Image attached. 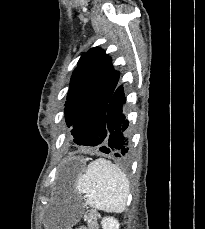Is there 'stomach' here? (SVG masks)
<instances>
[{
    "label": "stomach",
    "instance_id": "1",
    "mask_svg": "<svg viewBox=\"0 0 205 229\" xmlns=\"http://www.w3.org/2000/svg\"><path fill=\"white\" fill-rule=\"evenodd\" d=\"M79 167H84L83 161H80ZM80 216V210L69 203L57 200L45 210L43 224L46 229H71L79 221Z\"/></svg>",
    "mask_w": 205,
    "mask_h": 229
}]
</instances>
